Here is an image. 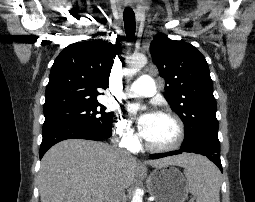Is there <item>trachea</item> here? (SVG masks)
<instances>
[{
	"mask_svg": "<svg viewBox=\"0 0 255 202\" xmlns=\"http://www.w3.org/2000/svg\"><path fill=\"white\" fill-rule=\"evenodd\" d=\"M125 32L127 38L132 40L135 35V14L134 11L130 8H126L123 13Z\"/></svg>",
	"mask_w": 255,
	"mask_h": 202,
	"instance_id": "3493384b",
	"label": "trachea"
}]
</instances>
